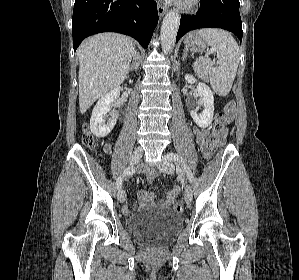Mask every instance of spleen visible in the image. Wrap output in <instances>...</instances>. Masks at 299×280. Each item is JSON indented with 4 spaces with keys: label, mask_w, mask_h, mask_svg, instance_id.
Listing matches in <instances>:
<instances>
[{
    "label": "spleen",
    "mask_w": 299,
    "mask_h": 280,
    "mask_svg": "<svg viewBox=\"0 0 299 280\" xmlns=\"http://www.w3.org/2000/svg\"><path fill=\"white\" fill-rule=\"evenodd\" d=\"M196 34L217 51L218 66L213 68L206 64V69L214 92L226 96L232 88L239 64L238 44L228 32L220 29H201Z\"/></svg>",
    "instance_id": "3e777b00"
}]
</instances>
